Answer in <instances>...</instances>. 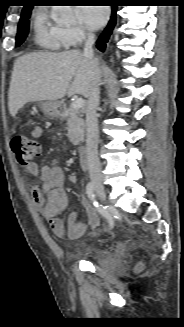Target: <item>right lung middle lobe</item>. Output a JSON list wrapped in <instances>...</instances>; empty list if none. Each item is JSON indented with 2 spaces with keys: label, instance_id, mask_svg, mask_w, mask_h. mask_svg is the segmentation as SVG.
Listing matches in <instances>:
<instances>
[{
  "label": "right lung middle lobe",
  "instance_id": "right-lung-middle-lobe-1",
  "mask_svg": "<svg viewBox=\"0 0 184 327\" xmlns=\"http://www.w3.org/2000/svg\"><path fill=\"white\" fill-rule=\"evenodd\" d=\"M31 10L23 12L17 29L16 46H20L29 33Z\"/></svg>",
  "mask_w": 184,
  "mask_h": 327
}]
</instances>
